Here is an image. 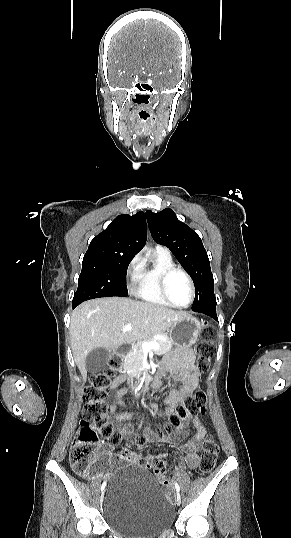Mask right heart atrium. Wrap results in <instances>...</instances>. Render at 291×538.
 <instances>
[{
	"mask_svg": "<svg viewBox=\"0 0 291 538\" xmlns=\"http://www.w3.org/2000/svg\"><path fill=\"white\" fill-rule=\"evenodd\" d=\"M142 264V258L139 254H136L134 257H132V259L127 264L126 275L129 281V288L131 290L134 289L138 282Z\"/></svg>",
	"mask_w": 291,
	"mask_h": 538,
	"instance_id": "obj_1",
	"label": "right heart atrium"
}]
</instances>
